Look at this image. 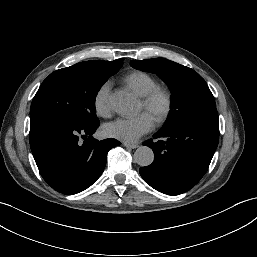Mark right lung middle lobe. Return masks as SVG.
Listing matches in <instances>:
<instances>
[{"label": "right lung middle lobe", "mask_w": 257, "mask_h": 257, "mask_svg": "<svg viewBox=\"0 0 257 257\" xmlns=\"http://www.w3.org/2000/svg\"><path fill=\"white\" fill-rule=\"evenodd\" d=\"M120 66L99 69L80 62L50 74L37 91L30 119L50 118L68 125L85 126L99 122L95 97Z\"/></svg>", "instance_id": "obj_1"}]
</instances>
